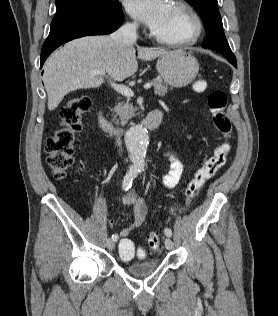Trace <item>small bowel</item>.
Segmentation results:
<instances>
[{
  "label": "small bowel",
  "instance_id": "1",
  "mask_svg": "<svg viewBox=\"0 0 278 316\" xmlns=\"http://www.w3.org/2000/svg\"><path fill=\"white\" fill-rule=\"evenodd\" d=\"M165 156L169 159L171 165L169 172L163 177V184L167 188L175 187L181 179L183 173V163L181 159L172 152H166ZM122 203L124 205L133 206L134 216L131 223L119 230L118 237L125 238L131 232L138 229L145 221L147 216V206L145 199L138 196L135 192H129L122 198ZM115 223L114 219L109 220V224L113 225Z\"/></svg>",
  "mask_w": 278,
  "mask_h": 316
}]
</instances>
